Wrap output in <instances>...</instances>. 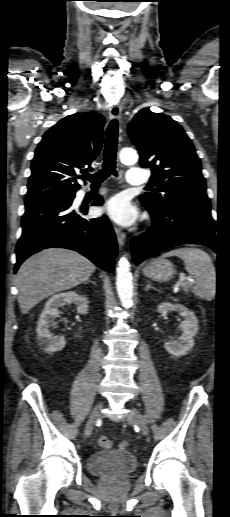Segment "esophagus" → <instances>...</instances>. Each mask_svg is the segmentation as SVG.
<instances>
[{
  "instance_id": "obj_1",
  "label": "esophagus",
  "mask_w": 230,
  "mask_h": 517,
  "mask_svg": "<svg viewBox=\"0 0 230 517\" xmlns=\"http://www.w3.org/2000/svg\"><path fill=\"white\" fill-rule=\"evenodd\" d=\"M109 116L111 119L120 120L121 118V107L118 104H114L109 109ZM114 231L117 237L118 244L123 246L126 239V234L119 229L118 227H114Z\"/></svg>"
}]
</instances>
